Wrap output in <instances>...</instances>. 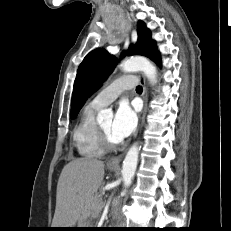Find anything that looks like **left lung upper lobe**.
I'll return each mask as SVG.
<instances>
[{"mask_svg":"<svg viewBox=\"0 0 231 231\" xmlns=\"http://www.w3.org/2000/svg\"><path fill=\"white\" fill-rule=\"evenodd\" d=\"M138 41L130 46L129 55H143L151 58L156 52V43L151 39V33L145 23L137 24ZM117 64L116 58L104 48H97L86 55L78 68L74 82L71 106V118L74 119L81 107L104 82Z\"/></svg>","mask_w":231,"mask_h":231,"instance_id":"obj_1","label":"left lung upper lobe"}]
</instances>
